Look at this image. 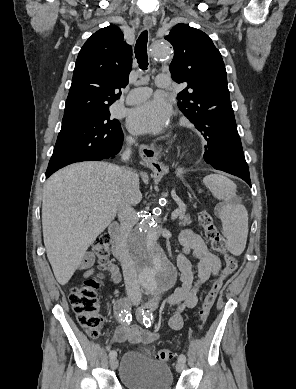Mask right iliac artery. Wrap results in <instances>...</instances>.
I'll return each instance as SVG.
<instances>
[{"instance_id":"1","label":"right iliac artery","mask_w":296,"mask_h":389,"mask_svg":"<svg viewBox=\"0 0 296 389\" xmlns=\"http://www.w3.org/2000/svg\"><path fill=\"white\" fill-rule=\"evenodd\" d=\"M129 301L127 299H120L117 303V306H116V315H117V318L120 322H125V314H124V309L125 308H130L129 307ZM109 356L110 358L112 357H116L117 356V353L115 351H111L109 353Z\"/></svg>"}]
</instances>
